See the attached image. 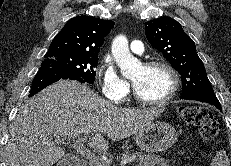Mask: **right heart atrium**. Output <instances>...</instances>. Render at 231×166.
Here are the masks:
<instances>
[{
  "label": "right heart atrium",
  "mask_w": 231,
  "mask_h": 166,
  "mask_svg": "<svg viewBox=\"0 0 231 166\" xmlns=\"http://www.w3.org/2000/svg\"><path fill=\"white\" fill-rule=\"evenodd\" d=\"M97 76L101 91L109 100L119 102L129 93V83L120 76L110 58L102 60Z\"/></svg>",
  "instance_id": "right-heart-atrium-1"
}]
</instances>
